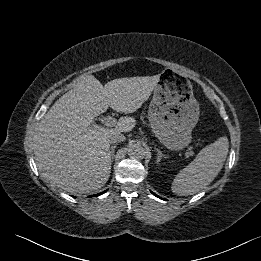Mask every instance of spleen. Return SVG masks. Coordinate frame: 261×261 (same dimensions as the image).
I'll list each match as a JSON object with an SVG mask.
<instances>
[{
	"instance_id": "1",
	"label": "spleen",
	"mask_w": 261,
	"mask_h": 261,
	"mask_svg": "<svg viewBox=\"0 0 261 261\" xmlns=\"http://www.w3.org/2000/svg\"><path fill=\"white\" fill-rule=\"evenodd\" d=\"M228 149L226 136L204 147L196 158L175 176L171 185L172 192L178 196H188L209 185L221 171Z\"/></svg>"
}]
</instances>
